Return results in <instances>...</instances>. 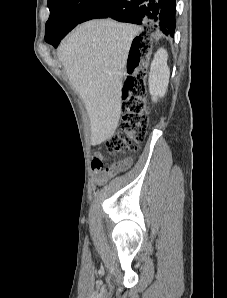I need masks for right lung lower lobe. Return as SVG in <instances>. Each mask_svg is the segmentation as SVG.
<instances>
[{"label":"right lung lower lobe","instance_id":"98d812e1","mask_svg":"<svg viewBox=\"0 0 227 298\" xmlns=\"http://www.w3.org/2000/svg\"><path fill=\"white\" fill-rule=\"evenodd\" d=\"M176 0H101L81 20L112 18L120 22L160 28L165 35H174ZM68 33H54L46 42L57 47Z\"/></svg>","mask_w":227,"mask_h":298}]
</instances>
